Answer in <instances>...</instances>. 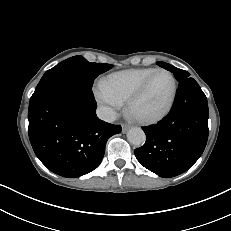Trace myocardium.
<instances>
[{
    "label": "myocardium",
    "instance_id": "f54148a6",
    "mask_svg": "<svg viewBox=\"0 0 231 231\" xmlns=\"http://www.w3.org/2000/svg\"><path fill=\"white\" fill-rule=\"evenodd\" d=\"M160 73H164L167 74L171 81H172V92H171V96L169 98V101L167 102V104L165 105V107L159 111L156 114L150 115V116H140L137 115L134 112V107L136 105V103L145 95L146 91L148 90L152 80L154 79V77L157 74ZM177 90H178V86H177V81L175 76L168 70L165 69H156L141 85L140 87L128 98L127 103H126V109H127V113L129 114V116L131 118H133L135 121L141 123V124H154L157 123L159 121H161L162 119H164L172 110L174 103L176 101V97H177Z\"/></svg>",
    "mask_w": 231,
    "mask_h": 231
}]
</instances>
